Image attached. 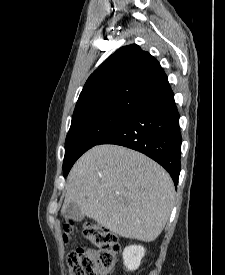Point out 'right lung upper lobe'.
Returning <instances> with one entry per match:
<instances>
[{
	"label": "right lung upper lobe",
	"instance_id": "right-lung-upper-lobe-1",
	"mask_svg": "<svg viewBox=\"0 0 225 275\" xmlns=\"http://www.w3.org/2000/svg\"><path fill=\"white\" fill-rule=\"evenodd\" d=\"M172 93L159 62L138 45L124 46L88 78L72 121L102 112H127Z\"/></svg>",
	"mask_w": 225,
	"mask_h": 275
}]
</instances>
